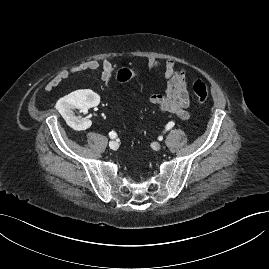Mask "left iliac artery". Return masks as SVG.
I'll list each match as a JSON object with an SVG mask.
<instances>
[{
  "instance_id": "left-iliac-artery-1",
  "label": "left iliac artery",
  "mask_w": 269,
  "mask_h": 269,
  "mask_svg": "<svg viewBox=\"0 0 269 269\" xmlns=\"http://www.w3.org/2000/svg\"><path fill=\"white\" fill-rule=\"evenodd\" d=\"M174 125H175V123H174L173 121H170V122L166 125V130H170Z\"/></svg>"
}]
</instances>
